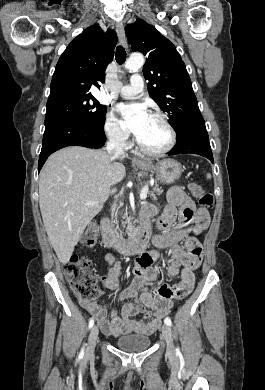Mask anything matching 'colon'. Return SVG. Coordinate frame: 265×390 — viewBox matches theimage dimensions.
<instances>
[{
    "label": "colon",
    "instance_id": "colon-1",
    "mask_svg": "<svg viewBox=\"0 0 265 390\" xmlns=\"http://www.w3.org/2000/svg\"><path fill=\"white\" fill-rule=\"evenodd\" d=\"M189 190L198 199L202 208L210 209L213 207V195L206 193L199 184L191 183ZM97 238L98 226L92 222L84 232L82 243L85 246L93 247L97 242ZM63 274L67 279L70 290L80 302H91L99 297L98 276L88 257L71 256L63 265Z\"/></svg>",
    "mask_w": 265,
    "mask_h": 390
}]
</instances>
